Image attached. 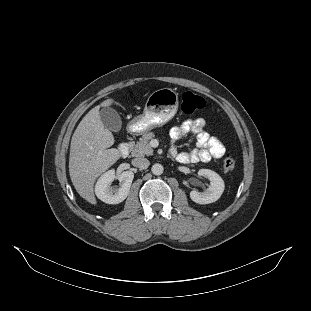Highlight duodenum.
<instances>
[{"mask_svg":"<svg viewBox=\"0 0 311 311\" xmlns=\"http://www.w3.org/2000/svg\"><path fill=\"white\" fill-rule=\"evenodd\" d=\"M119 153L122 157H125L128 155L130 151V144L128 142H123L119 145Z\"/></svg>","mask_w":311,"mask_h":311,"instance_id":"duodenum-1","label":"duodenum"}]
</instances>
